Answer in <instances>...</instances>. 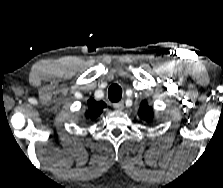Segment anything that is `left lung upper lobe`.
<instances>
[{
  "mask_svg": "<svg viewBox=\"0 0 223 188\" xmlns=\"http://www.w3.org/2000/svg\"><path fill=\"white\" fill-rule=\"evenodd\" d=\"M138 115L145 121L150 122L153 119V109L148 106L146 101H142L139 111H138Z\"/></svg>",
  "mask_w": 223,
  "mask_h": 188,
  "instance_id": "left-lung-upper-lobe-1",
  "label": "left lung upper lobe"
}]
</instances>
